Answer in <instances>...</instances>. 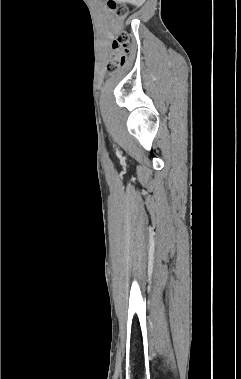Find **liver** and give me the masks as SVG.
Returning <instances> with one entry per match:
<instances>
[{
  "label": "liver",
  "instance_id": "1",
  "mask_svg": "<svg viewBox=\"0 0 241 379\" xmlns=\"http://www.w3.org/2000/svg\"><path fill=\"white\" fill-rule=\"evenodd\" d=\"M117 2H132L135 3L137 0H116Z\"/></svg>",
  "mask_w": 241,
  "mask_h": 379
}]
</instances>
